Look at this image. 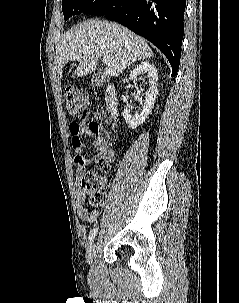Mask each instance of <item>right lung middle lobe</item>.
<instances>
[{"label": "right lung middle lobe", "instance_id": "obj_1", "mask_svg": "<svg viewBox=\"0 0 239 303\" xmlns=\"http://www.w3.org/2000/svg\"><path fill=\"white\" fill-rule=\"evenodd\" d=\"M106 0H62L64 19L79 13H90Z\"/></svg>", "mask_w": 239, "mask_h": 303}]
</instances>
